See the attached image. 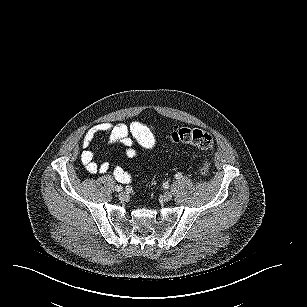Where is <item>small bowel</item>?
I'll return each mask as SVG.
<instances>
[{
  "mask_svg": "<svg viewBox=\"0 0 307 307\" xmlns=\"http://www.w3.org/2000/svg\"><path fill=\"white\" fill-rule=\"evenodd\" d=\"M102 133L108 135V143L110 145H121L124 147L129 158L137 157V153L133 148L134 141L131 136L144 149L151 150L156 146L153 128L139 121H133L129 125L124 123H100L94 125L83 135L82 151L80 154V161L90 174H105L110 170V164L108 162H97L93 151L90 149L95 137ZM112 173L115 180L120 183H129L133 178L131 173L119 166L115 167Z\"/></svg>",
  "mask_w": 307,
  "mask_h": 307,
  "instance_id": "small-bowel-1",
  "label": "small bowel"
}]
</instances>
